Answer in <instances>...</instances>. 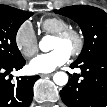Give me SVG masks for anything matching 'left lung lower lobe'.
<instances>
[{
  "label": "left lung lower lobe",
  "mask_w": 107,
  "mask_h": 107,
  "mask_svg": "<svg viewBox=\"0 0 107 107\" xmlns=\"http://www.w3.org/2000/svg\"><path fill=\"white\" fill-rule=\"evenodd\" d=\"M71 68L79 67L80 75L73 74L60 91L62 101L68 107L107 106V51L98 53L82 62H73Z\"/></svg>",
  "instance_id": "0a47b994"
}]
</instances>
